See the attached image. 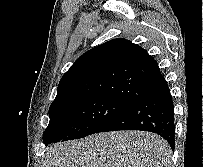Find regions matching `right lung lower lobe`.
<instances>
[{"label": "right lung lower lobe", "instance_id": "obj_1", "mask_svg": "<svg viewBox=\"0 0 203 167\" xmlns=\"http://www.w3.org/2000/svg\"><path fill=\"white\" fill-rule=\"evenodd\" d=\"M118 130L157 133L174 149V107L167 83L162 88L137 98L98 132Z\"/></svg>", "mask_w": 203, "mask_h": 167}]
</instances>
